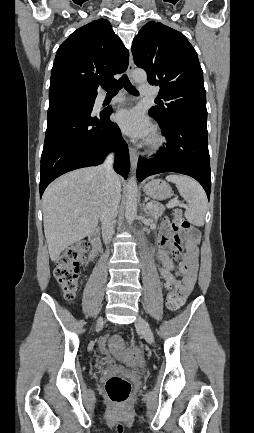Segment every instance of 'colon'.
<instances>
[{
	"label": "colon",
	"instance_id": "5ec220e1",
	"mask_svg": "<svg viewBox=\"0 0 254 433\" xmlns=\"http://www.w3.org/2000/svg\"><path fill=\"white\" fill-rule=\"evenodd\" d=\"M172 224L178 229L185 231L187 235L195 236L196 230L191 227L184 218L180 210H175L172 216ZM85 251V246L69 247L59 257L55 268V277L61 286L64 297L73 300L82 284L80 275V263ZM180 294L176 290H171L167 297V306L171 310H177L182 305ZM111 344L120 348L122 341L114 336L110 340ZM123 360L129 365H141L142 358L138 353L128 352L123 356ZM105 392L113 403L125 402L131 394V384L121 377H110L105 383Z\"/></svg>",
	"mask_w": 254,
	"mask_h": 433
}]
</instances>
